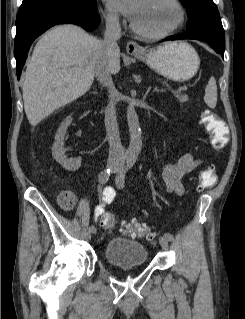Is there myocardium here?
<instances>
[{
    "label": "myocardium",
    "mask_w": 245,
    "mask_h": 319,
    "mask_svg": "<svg viewBox=\"0 0 245 319\" xmlns=\"http://www.w3.org/2000/svg\"><path fill=\"white\" fill-rule=\"evenodd\" d=\"M170 2L176 7V9L178 11V20L172 27H170L166 30H163V31H159V32H148V31H145V30L139 28L133 21H131L130 26H131L132 30L136 34L140 35L143 38H147V39L165 38V37L172 35L176 31H178L183 26V24L185 22V18H186L185 9L179 0H170Z\"/></svg>",
    "instance_id": "myocardium-1"
}]
</instances>
